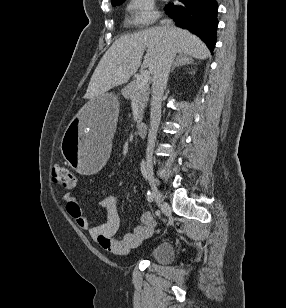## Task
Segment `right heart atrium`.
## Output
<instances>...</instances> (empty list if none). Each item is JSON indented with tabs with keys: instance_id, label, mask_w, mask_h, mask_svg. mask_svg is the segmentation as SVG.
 I'll return each instance as SVG.
<instances>
[{
	"instance_id": "right-heart-atrium-1",
	"label": "right heart atrium",
	"mask_w": 286,
	"mask_h": 308,
	"mask_svg": "<svg viewBox=\"0 0 286 308\" xmlns=\"http://www.w3.org/2000/svg\"><path fill=\"white\" fill-rule=\"evenodd\" d=\"M126 10L130 21L138 27H147L158 18L154 0H128Z\"/></svg>"
}]
</instances>
